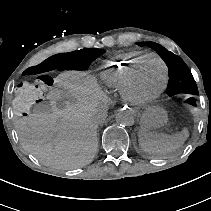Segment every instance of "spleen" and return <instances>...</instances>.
<instances>
[{
    "label": "spleen",
    "mask_w": 211,
    "mask_h": 211,
    "mask_svg": "<svg viewBox=\"0 0 211 211\" xmlns=\"http://www.w3.org/2000/svg\"><path fill=\"white\" fill-rule=\"evenodd\" d=\"M189 135L185 128L176 135L159 134L151 132L145 127L139 130V143L142 149L151 154H163L182 144Z\"/></svg>",
    "instance_id": "3e777b00"
}]
</instances>
